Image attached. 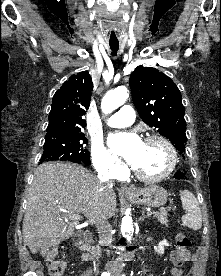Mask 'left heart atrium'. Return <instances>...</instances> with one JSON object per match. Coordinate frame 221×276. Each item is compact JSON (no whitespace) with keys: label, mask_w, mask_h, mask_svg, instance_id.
<instances>
[{"label":"left heart atrium","mask_w":221,"mask_h":276,"mask_svg":"<svg viewBox=\"0 0 221 276\" xmlns=\"http://www.w3.org/2000/svg\"><path fill=\"white\" fill-rule=\"evenodd\" d=\"M113 151L123 156L128 163L135 165L140 157L143 142L135 134H121L110 138Z\"/></svg>","instance_id":"39dd6f15"}]
</instances>
